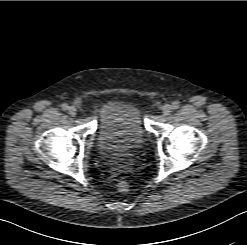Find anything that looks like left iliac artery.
I'll return each mask as SVG.
<instances>
[{
	"label": "left iliac artery",
	"mask_w": 247,
	"mask_h": 245,
	"mask_svg": "<svg viewBox=\"0 0 247 245\" xmlns=\"http://www.w3.org/2000/svg\"><path fill=\"white\" fill-rule=\"evenodd\" d=\"M179 106H180V103H179L178 101H174V102L172 103V109H174V110L178 109Z\"/></svg>",
	"instance_id": "obj_1"
}]
</instances>
